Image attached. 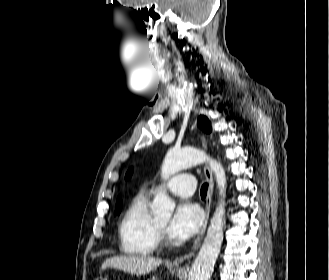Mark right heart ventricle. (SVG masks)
Wrapping results in <instances>:
<instances>
[{
	"label": "right heart ventricle",
	"mask_w": 329,
	"mask_h": 280,
	"mask_svg": "<svg viewBox=\"0 0 329 280\" xmlns=\"http://www.w3.org/2000/svg\"><path fill=\"white\" fill-rule=\"evenodd\" d=\"M148 205L149 195L139 194L132 200L120 222V246L126 254L146 256L157 248V221Z\"/></svg>",
	"instance_id": "1"
}]
</instances>
